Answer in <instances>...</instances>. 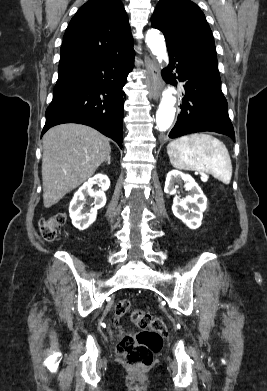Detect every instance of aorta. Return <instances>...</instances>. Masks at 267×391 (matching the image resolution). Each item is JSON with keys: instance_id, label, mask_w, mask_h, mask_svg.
<instances>
[{"instance_id": "aorta-1", "label": "aorta", "mask_w": 267, "mask_h": 391, "mask_svg": "<svg viewBox=\"0 0 267 391\" xmlns=\"http://www.w3.org/2000/svg\"><path fill=\"white\" fill-rule=\"evenodd\" d=\"M145 41L152 54L156 56L159 62L167 61L168 57L165 40L157 30H148ZM175 93V89L170 87L162 92V98L156 112V125L160 132L167 131L174 120L176 103Z\"/></svg>"}]
</instances>
